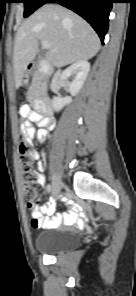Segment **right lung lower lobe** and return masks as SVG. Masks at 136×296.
I'll return each mask as SVG.
<instances>
[{
  "instance_id": "98d812e1",
  "label": "right lung lower lobe",
  "mask_w": 136,
  "mask_h": 296,
  "mask_svg": "<svg viewBox=\"0 0 136 296\" xmlns=\"http://www.w3.org/2000/svg\"><path fill=\"white\" fill-rule=\"evenodd\" d=\"M45 3H58L79 14L91 24L104 43L114 0H46Z\"/></svg>"
}]
</instances>
